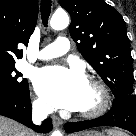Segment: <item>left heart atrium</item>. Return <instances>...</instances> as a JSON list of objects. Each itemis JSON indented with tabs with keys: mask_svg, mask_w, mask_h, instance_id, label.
Returning a JSON list of instances; mask_svg holds the SVG:
<instances>
[{
	"mask_svg": "<svg viewBox=\"0 0 136 136\" xmlns=\"http://www.w3.org/2000/svg\"><path fill=\"white\" fill-rule=\"evenodd\" d=\"M34 84L37 93L50 105L80 110L88 82L77 68L48 66L37 72Z\"/></svg>",
	"mask_w": 136,
	"mask_h": 136,
	"instance_id": "obj_1",
	"label": "left heart atrium"
}]
</instances>
